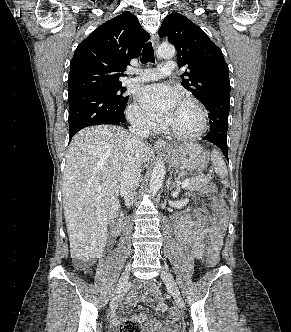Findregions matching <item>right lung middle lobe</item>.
I'll use <instances>...</instances> for the list:
<instances>
[{"label": "right lung middle lobe", "instance_id": "dd1d6c3e", "mask_svg": "<svg viewBox=\"0 0 291 332\" xmlns=\"http://www.w3.org/2000/svg\"><path fill=\"white\" fill-rule=\"evenodd\" d=\"M121 86V83L97 82L93 84L90 89L99 90L118 104L122 105L127 103L128 96L124 94L126 89L122 88Z\"/></svg>", "mask_w": 291, "mask_h": 332}]
</instances>
